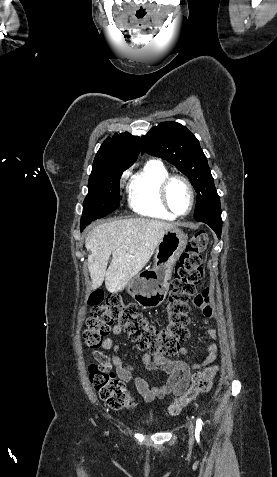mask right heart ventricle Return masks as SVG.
Listing matches in <instances>:
<instances>
[{
  "instance_id": "right-heart-ventricle-1",
  "label": "right heart ventricle",
  "mask_w": 277,
  "mask_h": 477,
  "mask_svg": "<svg viewBox=\"0 0 277 477\" xmlns=\"http://www.w3.org/2000/svg\"><path fill=\"white\" fill-rule=\"evenodd\" d=\"M169 175L167 168L159 161H148L132 175L128 185V201L131 209L139 215L174 220L162 205L159 195L161 182Z\"/></svg>"
}]
</instances>
